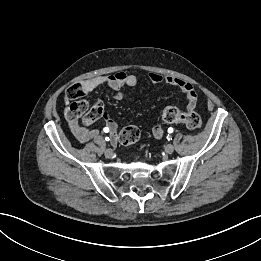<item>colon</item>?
Listing matches in <instances>:
<instances>
[{"instance_id": "5ec220e1", "label": "colon", "mask_w": 261, "mask_h": 261, "mask_svg": "<svg viewBox=\"0 0 261 261\" xmlns=\"http://www.w3.org/2000/svg\"><path fill=\"white\" fill-rule=\"evenodd\" d=\"M84 96V91L80 83L74 84L67 89L66 97L74 100L69 106V115L71 117L79 118L81 116L88 122H94L105 113L102 111L100 105L95 102L88 104L87 102L79 100ZM162 119L166 123H183L189 129H199L202 126V119L196 112L182 113L176 107H166L162 112ZM140 138V131L136 126L124 127L119 134V141L122 146L130 147L134 145Z\"/></svg>"}]
</instances>
